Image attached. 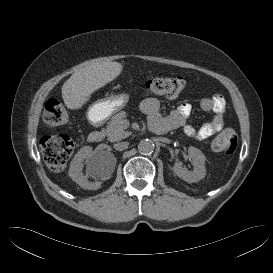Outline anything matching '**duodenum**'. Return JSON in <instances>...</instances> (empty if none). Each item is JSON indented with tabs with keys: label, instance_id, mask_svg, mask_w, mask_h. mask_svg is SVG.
<instances>
[{
	"label": "duodenum",
	"instance_id": "410a0bca",
	"mask_svg": "<svg viewBox=\"0 0 273 273\" xmlns=\"http://www.w3.org/2000/svg\"><path fill=\"white\" fill-rule=\"evenodd\" d=\"M149 127L152 132L158 135L165 134L169 131L167 122L162 118H156L153 121H149ZM103 137H104V134L99 129H95L89 134V140L92 143L101 142Z\"/></svg>",
	"mask_w": 273,
	"mask_h": 273
}]
</instances>
